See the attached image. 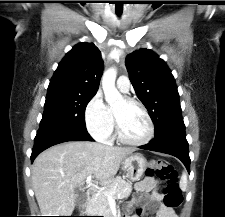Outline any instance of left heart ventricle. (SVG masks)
Segmentation results:
<instances>
[{
  "mask_svg": "<svg viewBox=\"0 0 225 217\" xmlns=\"http://www.w3.org/2000/svg\"><path fill=\"white\" fill-rule=\"evenodd\" d=\"M123 135L133 141L145 138L148 132L147 120L141 109L120 99L113 107Z\"/></svg>",
  "mask_w": 225,
  "mask_h": 217,
  "instance_id": "b2bd125f",
  "label": "left heart ventricle"
}]
</instances>
